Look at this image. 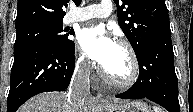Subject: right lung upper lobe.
I'll return each mask as SVG.
<instances>
[{
  "instance_id": "obj_1",
  "label": "right lung upper lobe",
  "mask_w": 193,
  "mask_h": 112,
  "mask_svg": "<svg viewBox=\"0 0 193 112\" xmlns=\"http://www.w3.org/2000/svg\"><path fill=\"white\" fill-rule=\"evenodd\" d=\"M69 0H18L16 30L38 24L62 23Z\"/></svg>"
}]
</instances>
